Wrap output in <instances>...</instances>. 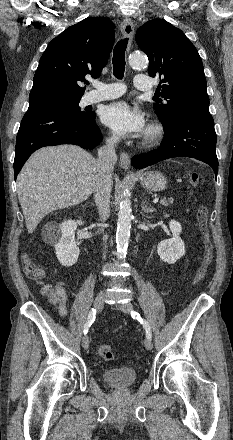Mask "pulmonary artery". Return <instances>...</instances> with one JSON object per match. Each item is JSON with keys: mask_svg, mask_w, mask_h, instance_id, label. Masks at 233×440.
I'll return each mask as SVG.
<instances>
[{"mask_svg": "<svg viewBox=\"0 0 233 440\" xmlns=\"http://www.w3.org/2000/svg\"><path fill=\"white\" fill-rule=\"evenodd\" d=\"M134 86L136 89L141 91H151L152 86L148 81V76L146 75H136L134 77ZM125 92L124 85L120 83H100L98 85V90L91 91L86 96L87 103H96L100 101L115 99L120 97Z\"/></svg>", "mask_w": 233, "mask_h": 440, "instance_id": "pulmonary-artery-1", "label": "pulmonary artery"}]
</instances>
